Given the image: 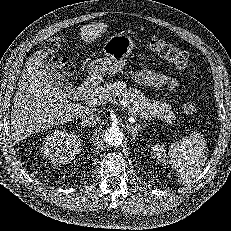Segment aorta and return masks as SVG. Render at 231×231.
Segmentation results:
<instances>
[{"label":"aorta","instance_id":"1","mask_svg":"<svg viewBox=\"0 0 231 231\" xmlns=\"http://www.w3.org/2000/svg\"><path fill=\"white\" fill-rule=\"evenodd\" d=\"M124 139L123 132L118 127H111L104 133V141L111 147H118Z\"/></svg>","mask_w":231,"mask_h":231}]
</instances>
